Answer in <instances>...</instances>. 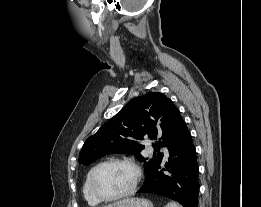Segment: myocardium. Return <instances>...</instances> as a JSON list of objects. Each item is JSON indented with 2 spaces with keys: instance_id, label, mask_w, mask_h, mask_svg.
<instances>
[{
  "instance_id": "f54148a6",
  "label": "myocardium",
  "mask_w": 261,
  "mask_h": 207,
  "mask_svg": "<svg viewBox=\"0 0 261 207\" xmlns=\"http://www.w3.org/2000/svg\"><path fill=\"white\" fill-rule=\"evenodd\" d=\"M110 164H124V165L129 166L130 168H132V170L134 172V180H133L131 187L129 189H127L126 191H124L118 195H115V196L105 197V196L101 195L99 193V191L97 190L96 177H97L98 172L103 167L110 165ZM140 180H141V170L134 161H132L130 159H126V158H112V159H108V160H105V161L99 163L92 170L91 175H90V190H91L92 195L99 202H105V203L113 202V201H117V200H120L122 198L132 195L136 191Z\"/></svg>"
}]
</instances>
